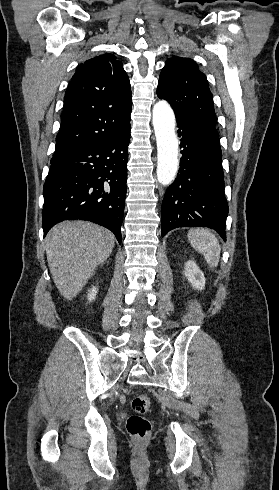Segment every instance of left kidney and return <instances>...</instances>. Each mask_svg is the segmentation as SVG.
Masks as SVG:
<instances>
[{
	"label": "left kidney",
	"instance_id": "left-kidney-1",
	"mask_svg": "<svg viewBox=\"0 0 279 490\" xmlns=\"http://www.w3.org/2000/svg\"><path fill=\"white\" fill-rule=\"evenodd\" d=\"M184 270V274L188 282H190L192 288H194V290H204V274L201 272L200 268H198L197 264L193 262V260H188V262H186Z\"/></svg>",
	"mask_w": 279,
	"mask_h": 490
}]
</instances>
